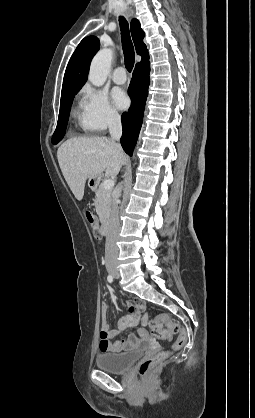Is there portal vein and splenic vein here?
Masks as SVG:
<instances>
[{
  "label": "portal vein and splenic vein",
  "instance_id": "obj_1",
  "mask_svg": "<svg viewBox=\"0 0 255 418\" xmlns=\"http://www.w3.org/2000/svg\"><path fill=\"white\" fill-rule=\"evenodd\" d=\"M103 188L106 190H111L114 187V180L113 179H106L102 183Z\"/></svg>",
  "mask_w": 255,
  "mask_h": 418
}]
</instances>
